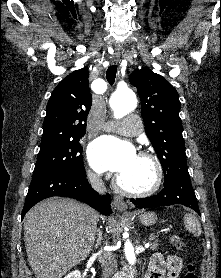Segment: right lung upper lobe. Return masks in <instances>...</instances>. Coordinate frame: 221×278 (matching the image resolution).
Masks as SVG:
<instances>
[{"mask_svg":"<svg viewBox=\"0 0 221 278\" xmlns=\"http://www.w3.org/2000/svg\"><path fill=\"white\" fill-rule=\"evenodd\" d=\"M88 76L87 69L76 70L54 89L47 104L41 142L84 135L92 104Z\"/></svg>","mask_w":221,"mask_h":278,"instance_id":"right-lung-upper-lobe-1","label":"right lung upper lobe"}]
</instances>
